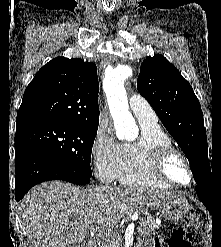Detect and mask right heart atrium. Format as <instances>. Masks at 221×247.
I'll return each mask as SVG.
<instances>
[{
    "label": "right heart atrium",
    "instance_id": "obj_1",
    "mask_svg": "<svg viewBox=\"0 0 221 247\" xmlns=\"http://www.w3.org/2000/svg\"><path fill=\"white\" fill-rule=\"evenodd\" d=\"M121 144L112 132L100 127L91 145L90 158L96 176L105 183L116 179L120 162Z\"/></svg>",
    "mask_w": 221,
    "mask_h": 247
}]
</instances>
